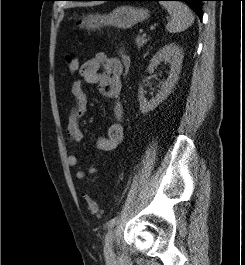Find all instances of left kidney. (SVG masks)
<instances>
[{
	"instance_id": "left-kidney-1",
	"label": "left kidney",
	"mask_w": 245,
	"mask_h": 265,
	"mask_svg": "<svg viewBox=\"0 0 245 265\" xmlns=\"http://www.w3.org/2000/svg\"><path fill=\"white\" fill-rule=\"evenodd\" d=\"M182 59V49H180L176 44L171 43L160 49L150 60L147 68L149 73L153 72L162 61L170 64V71L169 76L167 80L163 82L160 91H158L156 96L150 100L146 99L143 86L141 84L139 85L138 100L142 114H146L154 110L171 93L181 71Z\"/></svg>"
}]
</instances>
